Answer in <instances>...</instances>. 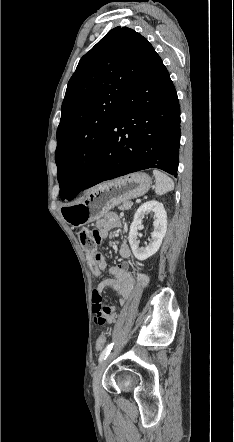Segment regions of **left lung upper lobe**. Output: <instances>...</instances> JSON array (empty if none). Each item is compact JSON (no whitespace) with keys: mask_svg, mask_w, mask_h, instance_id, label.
Instances as JSON below:
<instances>
[{"mask_svg":"<svg viewBox=\"0 0 234 442\" xmlns=\"http://www.w3.org/2000/svg\"><path fill=\"white\" fill-rule=\"evenodd\" d=\"M154 48L128 27L109 31L79 61L68 82L55 153L62 200L84 186L127 90Z\"/></svg>","mask_w":234,"mask_h":442,"instance_id":"left-lung-upper-lobe-1","label":"left lung upper lobe"}]
</instances>
